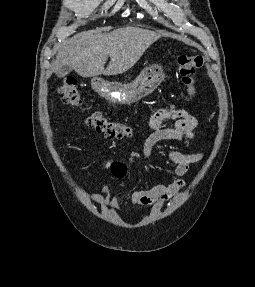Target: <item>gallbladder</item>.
Masks as SVG:
<instances>
[{
  "mask_svg": "<svg viewBox=\"0 0 255 287\" xmlns=\"http://www.w3.org/2000/svg\"><path fill=\"white\" fill-rule=\"evenodd\" d=\"M72 70L73 68H71V66H61V68H57L55 74L57 78H65V76H68Z\"/></svg>",
  "mask_w": 255,
  "mask_h": 287,
  "instance_id": "gallbladder-1",
  "label": "gallbladder"
}]
</instances>
